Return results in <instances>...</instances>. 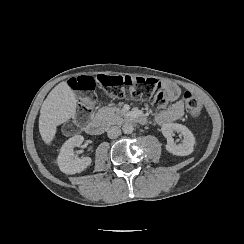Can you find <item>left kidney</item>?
<instances>
[{"mask_svg":"<svg viewBox=\"0 0 244 244\" xmlns=\"http://www.w3.org/2000/svg\"><path fill=\"white\" fill-rule=\"evenodd\" d=\"M161 130L163 136L167 139L166 149L168 152L178 156H186L193 152L195 137L186 126L178 123H167L162 126ZM174 131L183 135L181 144L174 142L172 137Z\"/></svg>","mask_w":244,"mask_h":244,"instance_id":"obj_1","label":"left kidney"}]
</instances>
